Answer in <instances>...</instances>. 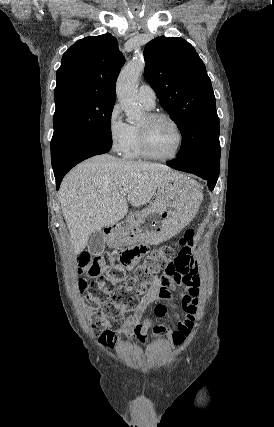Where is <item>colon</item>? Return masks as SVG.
<instances>
[{
  "label": "colon",
  "instance_id": "1",
  "mask_svg": "<svg viewBox=\"0 0 274 427\" xmlns=\"http://www.w3.org/2000/svg\"><path fill=\"white\" fill-rule=\"evenodd\" d=\"M147 247L144 244L130 246L127 250L119 249L113 253H105L102 256H90L87 250H80L77 253L78 274L87 277H94L100 271V262L106 264L104 274L95 285V295L88 301V324L95 334H99L107 319L113 320L120 316L119 306L132 310L136 307L137 296L144 293L147 284L155 274L161 273L175 261L176 246H165L151 254H148L142 265L134 270V275L121 284V274L127 263H135L139 258L147 254ZM119 286L116 287V285ZM74 289L77 292H84L87 289V282L84 279H77L74 282ZM110 293L115 294L114 302H106ZM99 307H102L99 309ZM185 360L184 358L182 359Z\"/></svg>",
  "mask_w": 274,
  "mask_h": 427
}]
</instances>
